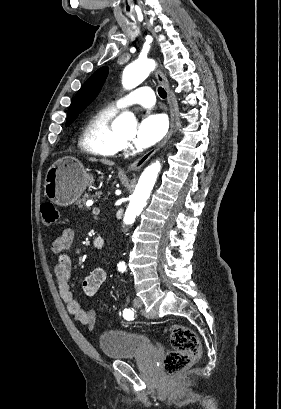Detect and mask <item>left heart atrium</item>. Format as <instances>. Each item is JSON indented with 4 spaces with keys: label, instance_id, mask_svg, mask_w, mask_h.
I'll return each mask as SVG.
<instances>
[{
    "label": "left heart atrium",
    "instance_id": "left-heart-atrium-1",
    "mask_svg": "<svg viewBox=\"0 0 281 409\" xmlns=\"http://www.w3.org/2000/svg\"><path fill=\"white\" fill-rule=\"evenodd\" d=\"M167 131V121L162 114L146 116L139 124L133 144L141 148H148L158 143Z\"/></svg>",
    "mask_w": 281,
    "mask_h": 409
}]
</instances>
